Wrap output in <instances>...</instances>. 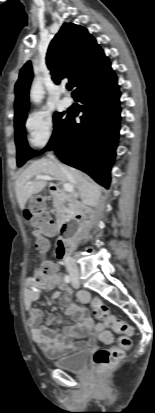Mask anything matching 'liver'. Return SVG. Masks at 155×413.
<instances>
[{
    "mask_svg": "<svg viewBox=\"0 0 155 413\" xmlns=\"http://www.w3.org/2000/svg\"><path fill=\"white\" fill-rule=\"evenodd\" d=\"M65 167L71 173L73 181L69 180L50 158H42L30 164L15 183V193L20 209H24L27 200L32 195L41 192L46 187V181L38 180V176H51L62 183L70 184L73 190L79 192L81 198L79 205L97 206L101 196V187L79 170Z\"/></svg>",
    "mask_w": 155,
    "mask_h": 413,
    "instance_id": "obj_1",
    "label": "liver"
}]
</instances>
